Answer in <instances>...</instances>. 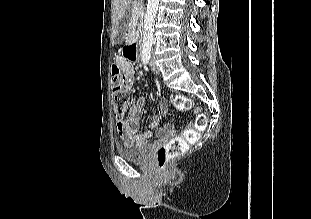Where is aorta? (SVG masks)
<instances>
[{"instance_id":"1","label":"aorta","mask_w":311,"mask_h":219,"mask_svg":"<svg viewBox=\"0 0 311 219\" xmlns=\"http://www.w3.org/2000/svg\"><path fill=\"white\" fill-rule=\"evenodd\" d=\"M159 6V0H148L144 18L143 48L151 49L153 45L154 23Z\"/></svg>"}]
</instances>
